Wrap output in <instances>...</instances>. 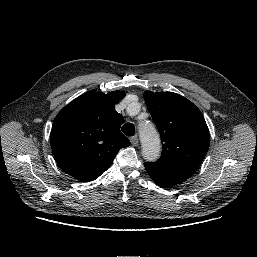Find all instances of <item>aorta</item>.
<instances>
[{
	"mask_svg": "<svg viewBox=\"0 0 257 257\" xmlns=\"http://www.w3.org/2000/svg\"><path fill=\"white\" fill-rule=\"evenodd\" d=\"M140 138L142 143V155L145 160L153 162L160 155V139L153 125L148 123L140 128Z\"/></svg>",
	"mask_w": 257,
	"mask_h": 257,
	"instance_id": "obj_1",
	"label": "aorta"
}]
</instances>
